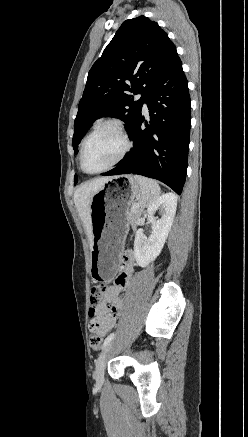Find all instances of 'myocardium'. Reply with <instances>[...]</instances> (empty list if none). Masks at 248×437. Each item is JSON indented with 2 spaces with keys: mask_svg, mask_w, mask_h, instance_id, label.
I'll list each match as a JSON object with an SVG mask.
<instances>
[{
  "mask_svg": "<svg viewBox=\"0 0 248 437\" xmlns=\"http://www.w3.org/2000/svg\"><path fill=\"white\" fill-rule=\"evenodd\" d=\"M106 127L113 128L120 134V136L124 142V147H123L121 153L118 155V157L111 164H109L105 168L98 170V171H94V172L88 171L86 169L85 163H84V154H85V148H86L87 142L95 133H97L99 130L106 128ZM131 148H132V141L129 137V134H128L125 126L120 121H117V120H113V119L104 120V121L98 123L89 132V134L84 138V140L81 144V149H80L81 169L87 174H100V173L106 172V171L112 169L118 163H120L126 157V155L130 152Z\"/></svg>",
  "mask_w": 248,
  "mask_h": 437,
  "instance_id": "f54148a6",
  "label": "myocardium"
}]
</instances>
